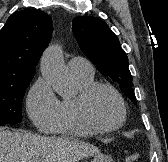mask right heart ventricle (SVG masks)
<instances>
[{"mask_svg":"<svg viewBox=\"0 0 168 162\" xmlns=\"http://www.w3.org/2000/svg\"><path fill=\"white\" fill-rule=\"evenodd\" d=\"M73 79L79 91L93 83V77L82 78L73 76ZM75 99L66 98L60 102L61 118L58 124L51 130L52 133L66 136H87L94 133L92 129L79 119L75 108Z\"/></svg>","mask_w":168,"mask_h":162,"instance_id":"1","label":"right heart ventricle"}]
</instances>
